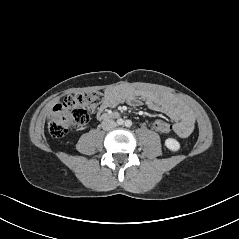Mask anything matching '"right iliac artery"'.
<instances>
[{"label": "right iliac artery", "instance_id": "obj_1", "mask_svg": "<svg viewBox=\"0 0 239 239\" xmlns=\"http://www.w3.org/2000/svg\"><path fill=\"white\" fill-rule=\"evenodd\" d=\"M118 125H122L124 123L123 119H118L117 120Z\"/></svg>", "mask_w": 239, "mask_h": 239}]
</instances>
